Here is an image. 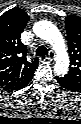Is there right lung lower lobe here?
Segmentation results:
<instances>
[{
    "label": "right lung lower lobe",
    "mask_w": 81,
    "mask_h": 124,
    "mask_svg": "<svg viewBox=\"0 0 81 124\" xmlns=\"http://www.w3.org/2000/svg\"><path fill=\"white\" fill-rule=\"evenodd\" d=\"M30 81H31V80H30ZM30 81H29V82H30ZM29 82H28V83H29ZM28 83H27V84H25L24 86L28 85ZM24 86H23V87H24ZM23 87H21V88H23ZM21 88H20V89H21Z\"/></svg>",
    "instance_id": "right-lung-lower-lobe-1"
}]
</instances>
